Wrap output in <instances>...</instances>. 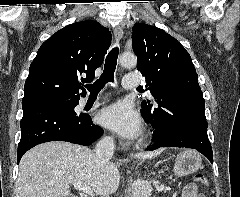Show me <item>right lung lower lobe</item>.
<instances>
[{
  "mask_svg": "<svg viewBox=\"0 0 240 197\" xmlns=\"http://www.w3.org/2000/svg\"><path fill=\"white\" fill-rule=\"evenodd\" d=\"M60 102L72 101L38 102L23 106L18 163L26 151L40 143L67 141L88 146L102 135L101 127L94 125L89 115H71ZM73 102L78 105V100Z\"/></svg>",
  "mask_w": 240,
  "mask_h": 197,
  "instance_id": "right-lung-lower-lobe-1",
  "label": "right lung lower lobe"
}]
</instances>
